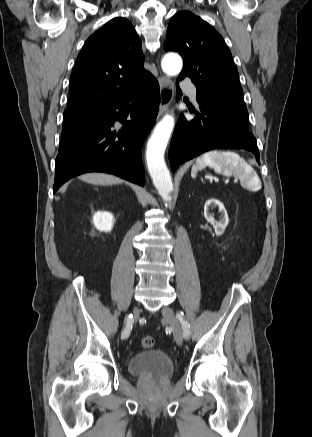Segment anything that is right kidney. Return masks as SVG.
<instances>
[{
    "instance_id": "obj_1",
    "label": "right kidney",
    "mask_w": 312,
    "mask_h": 437,
    "mask_svg": "<svg viewBox=\"0 0 312 437\" xmlns=\"http://www.w3.org/2000/svg\"><path fill=\"white\" fill-rule=\"evenodd\" d=\"M95 227L104 232H110L114 225V217L109 212H97L93 216Z\"/></svg>"
}]
</instances>
